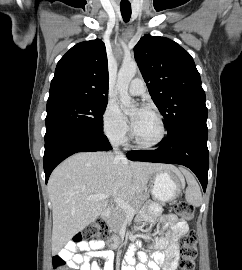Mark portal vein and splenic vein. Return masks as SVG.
<instances>
[{
    "mask_svg": "<svg viewBox=\"0 0 242 270\" xmlns=\"http://www.w3.org/2000/svg\"><path fill=\"white\" fill-rule=\"evenodd\" d=\"M109 196L105 194H95V195H89L87 197L88 200H104L107 199ZM114 201L120 207L122 210L126 212L128 215H134L135 211L133 207L129 204V202L120 199V198H114Z\"/></svg>",
    "mask_w": 242,
    "mask_h": 270,
    "instance_id": "18ae733b",
    "label": "portal vein and splenic vein"
}]
</instances>
